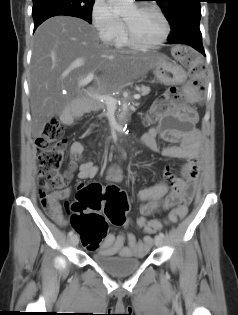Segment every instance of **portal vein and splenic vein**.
Here are the masks:
<instances>
[{
    "label": "portal vein and splenic vein",
    "instance_id": "1",
    "mask_svg": "<svg viewBox=\"0 0 238 315\" xmlns=\"http://www.w3.org/2000/svg\"><path fill=\"white\" fill-rule=\"evenodd\" d=\"M94 78V73H90L87 75V77H85L84 79H82L81 81H79V86H84L86 84H88L89 82H91ZM88 96L98 99V100H105L106 105H115L117 103V100L113 97L110 96H106V95H100V94H94V93H87ZM140 95L139 94H135L133 96L134 99H140Z\"/></svg>",
    "mask_w": 238,
    "mask_h": 315
}]
</instances>
